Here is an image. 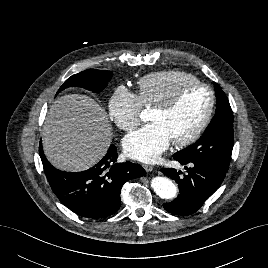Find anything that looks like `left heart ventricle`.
<instances>
[{
  "instance_id": "b2bd125f",
  "label": "left heart ventricle",
  "mask_w": 268,
  "mask_h": 268,
  "mask_svg": "<svg viewBox=\"0 0 268 268\" xmlns=\"http://www.w3.org/2000/svg\"><path fill=\"white\" fill-rule=\"evenodd\" d=\"M209 103V92L201 87L185 91L177 105L169 112L155 109L149 119L162 125L170 140H179L189 135L202 119Z\"/></svg>"
}]
</instances>
